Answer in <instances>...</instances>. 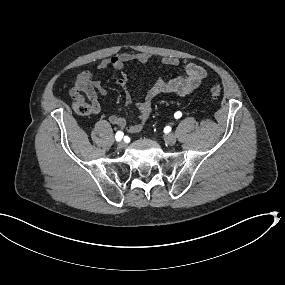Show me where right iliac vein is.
Segmentation results:
<instances>
[{
  "instance_id": "obj_1",
  "label": "right iliac vein",
  "mask_w": 285,
  "mask_h": 285,
  "mask_svg": "<svg viewBox=\"0 0 285 285\" xmlns=\"http://www.w3.org/2000/svg\"><path fill=\"white\" fill-rule=\"evenodd\" d=\"M126 147V143L121 141L120 143H118V149H124Z\"/></svg>"
}]
</instances>
